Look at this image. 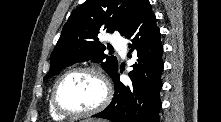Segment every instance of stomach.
<instances>
[{
    "instance_id": "stomach-1",
    "label": "stomach",
    "mask_w": 221,
    "mask_h": 122,
    "mask_svg": "<svg viewBox=\"0 0 221 122\" xmlns=\"http://www.w3.org/2000/svg\"><path fill=\"white\" fill-rule=\"evenodd\" d=\"M81 122H104V121L97 120V119H86V120H83Z\"/></svg>"
}]
</instances>
